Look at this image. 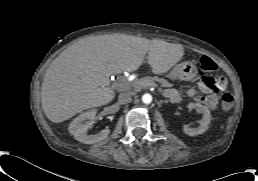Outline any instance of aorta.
<instances>
[{"instance_id": "762f6f07", "label": "aorta", "mask_w": 258, "mask_h": 181, "mask_svg": "<svg viewBox=\"0 0 258 181\" xmlns=\"http://www.w3.org/2000/svg\"><path fill=\"white\" fill-rule=\"evenodd\" d=\"M142 102L145 103V104H149L152 102V96L148 93L144 94L142 96Z\"/></svg>"}]
</instances>
